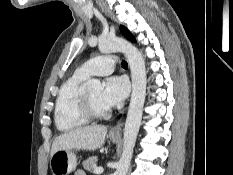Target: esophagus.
<instances>
[{
  "label": "esophagus",
  "mask_w": 233,
  "mask_h": 175,
  "mask_svg": "<svg viewBox=\"0 0 233 175\" xmlns=\"http://www.w3.org/2000/svg\"><path fill=\"white\" fill-rule=\"evenodd\" d=\"M122 127V120L118 121L110 130L111 135H119Z\"/></svg>",
  "instance_id": "1"
}]
</instances>
